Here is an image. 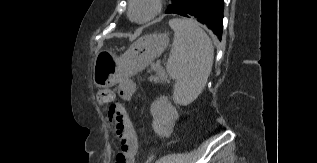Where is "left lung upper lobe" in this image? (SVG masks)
<instances>
[{"instance_id":"1","label":"left lung upper lobe","mask_w":317,"mask_h":163,"mask_svg":"<svg viewBox=\"0 0 317 163\" xmlns=\"http://www.w3.org/2000/svg\"><path fill=\"white\" fill-rule=\"evenodd\" d=\"M180 1L181 0H172V4L168 6L166 13L173 12L177 8Z\"/></svg>"}]
</instances>
